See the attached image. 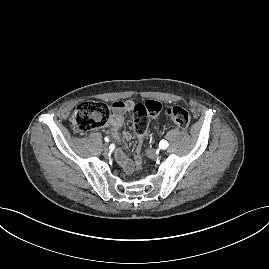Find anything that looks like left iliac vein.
I'll list each match as a JSON object with an SVG mask.
<instances>
[{
	"label": "left iliac vein",
	"instance_id": "1",
	"mask_svg": "<svg viewBox=\"0 0 269 269\" xmlns=\"http://www.w3.org/2000/svg\"><path fill=\"white\" fill-rule=\"evenodd\" d=\"M144 154L151 159H156L158 157V152L154 150L152 147H146L144 149Z\"/></svg>",
	"mask_w": 269,
	"mask_h": 269
}]
</instances>
